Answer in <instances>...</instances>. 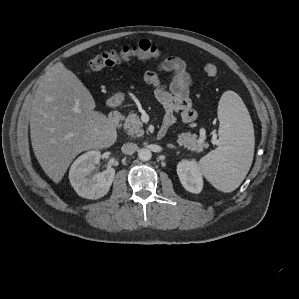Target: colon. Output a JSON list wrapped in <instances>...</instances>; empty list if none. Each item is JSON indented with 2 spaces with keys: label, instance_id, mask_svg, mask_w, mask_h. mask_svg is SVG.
I'll return each mask as SVG.
<instances>
[{
  "label": "colon",
  "instance_id": "colon-1",
  "mask_svg": "<svg viewBox=\"0 0 299 299\" xmlns=\"http://www.w3.org/2000/svg\"><path fill=\"white\" fill-rule=\"evenodd\" d=\"M163 51L147 40H142L135 46H125L119 51L104 52L91 58L87 64V71L94 73L116 65L131 58H160ZM204 73L210 77L218 74V67L214 63L204 66Z\"/></svg>",
  "mask_w": 299,
  "mask_h": 299
}]
</instances>
